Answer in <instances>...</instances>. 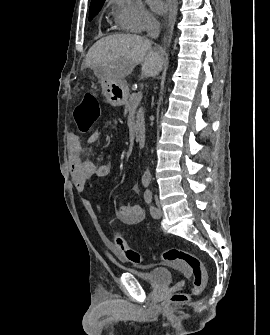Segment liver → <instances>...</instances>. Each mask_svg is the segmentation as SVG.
Returning <instances> with one entry per match:
<instances>
[{
    "label": "liver",
    "mask_w": 270,
    "mask_h": 335,
    "mask_svg": "<svg viewBox=\"0 0 270 335\" xmlns=\"http://www.w3.org/2000/svg\"><path fill=\"white\" fill-rule=\"evenodd\" d=\"M162 52H155L150 40L136 34H113L101 38L90 48L86 68H92L100 78L126 82L135 66L142 64V74L147 78L158 76L163 66Z\"/></svg>",
    "instance_id": "obj_1"
}]
</instances>
